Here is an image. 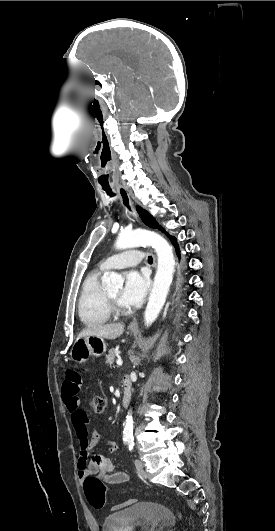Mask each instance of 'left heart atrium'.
Instances as JSON below:
<instances>
[{"label":"left heart atrium","mask_w":275,"mask_h":531,"mask_svg":"<svg viewBox=\"0 0 275 531\" xmlns=\"http://www.w3.org/2000/svg\"><path fill=\"white\" fill-rule=\"evenodd\" d=\"M148 285L149 278L145 270H128L119 297L120 303L125 307H138L145 297Z\"/></svg>","instance_id":"obj_1"}]
</instances>
